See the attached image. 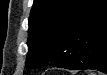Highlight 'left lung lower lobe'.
<instances>
[{"label":"left lung lower lobe","mask_w":107,"mask_h":75,"mask_svg":"<svg viewBox=\"0 0 107 75\" xmlns=\"http://www.w3.org/2000/svg\"><path fill=\"white\" fill-rule=\"evenodd\" d=\"M77 40L54 52L55 62L67 69H92L107 73V1L99 0L79 22Z\"/></svg>","instance_id":"1"}]
</instances>
